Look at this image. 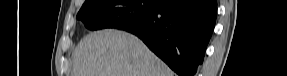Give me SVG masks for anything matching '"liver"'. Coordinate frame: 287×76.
Instances as JSON below:
<instances>
[{
    "instance_id": "6515ba94",
    "label": "liver",
    "mask_w": 287,
    "mask_h": 76,
    "mask_svg": "<svg viewBox=\"0 0 287 76\" xmlns=\"http://www.w3.org/2000/svg\"><path fill=\"white\" fill-rule=\"evenodd\" d=\"M72 59L71 76H173L140 39L113 29L83 37Z\"/></svg>"
}]
</instances>
